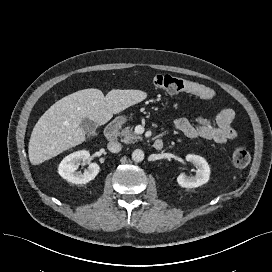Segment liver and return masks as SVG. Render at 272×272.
Listing matches in <instances>:
<instances>
[{"mask_svg":"<svg viewBox=\"0 0 272 272\" xmlns=\"http://www.w3.org/2000/svg\"><path fill=\"white\" fill-rule=\"evenodd\" d=\"M141 90L113 89L104 96L96 88L74 92L54 103L33 128L28 153L38 165L86 140L81 127L84 118L104 125L113 116L146 99Z\"/></svg>","mask_w":272,"mask_h":272,"instance_id":"liver-1","label":"liver"}]
</instances>
